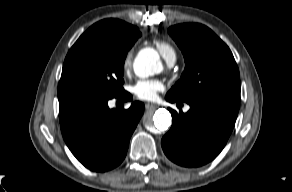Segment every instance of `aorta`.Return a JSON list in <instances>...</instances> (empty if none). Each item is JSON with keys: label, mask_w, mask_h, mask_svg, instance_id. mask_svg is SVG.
Wrapping results in <instances>:
<instances>
[{"label": "aorta", "mask_w": 292, "mask_h": 192, "mask_svg": "<svg viewBox=\"0 0 292 192\" xmlns=\"http://www.w3.org/2000/svg\"><path fill=\"white\" fill-rule=\"evenodd\" d=\"M135 74L140 78H147L161 71L158 53L154 49L141 50L133 64ZM171 115L164 108L158 109L146 124L155 126L160 131H165L171 124Z\"/></svg>", "instance_id": "762f6f07"}]
</instances>
